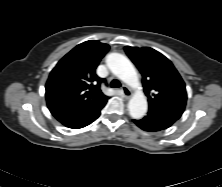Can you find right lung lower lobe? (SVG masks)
Segmentation results:
<instances>
[{"label": "right lung lower lobe", "mask_w": 222, "mask_h": 187, "mask_svg": "<svg viewBox=\"0 0 222 187\" xmlns=\"http://www.w3.org/2000/svg\"><path fill=\"white\" fill-rule=\"evenodd\" d=\"M104 107H98L92 110L86 111H69L49 108L52 115L64 126L72 129L83 128L93 121H95L101 113V109Z\"/></svg>", "instance_id": "right-lung-lower-lobe-1"}]
</instances>
